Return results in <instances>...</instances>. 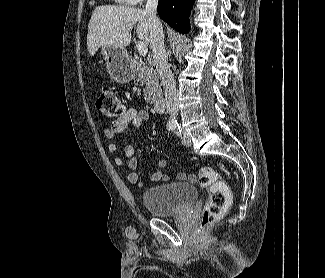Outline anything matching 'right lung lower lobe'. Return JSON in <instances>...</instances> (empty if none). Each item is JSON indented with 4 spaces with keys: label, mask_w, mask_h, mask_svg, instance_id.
<instances>
[{
    "label": "right lung lower lobe",
    "mask_w": 325,
    "mask_h": 278,
    "mask_svg": "<svg viewBox=\"0 0 325 278\" xmlns=\"http://www.w3.org/2000/svg\"><path fill=\"white\" fill-rule=\"evenodd\" d=\"M194 0H159L158 14L162 20L180 33L189 31L187 16Z\"/></svg>",
    "instance_id": "1"
}]
</instances>
